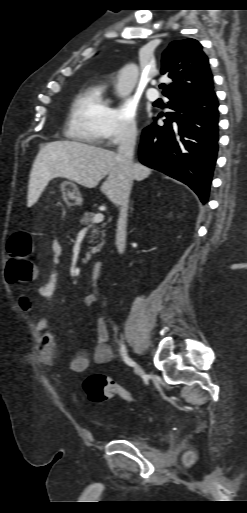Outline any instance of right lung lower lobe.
Instances as JSON below:
<instances>
[{
  "label": "right lung lower lobe",
  "instance_id": "1",
  "mask_svg": "<svg viewBox=\"0 0 247 513\" xmlns=\"http://www.w3.org/2000/svg\"><path fill=\"white\" fill-rule=\"evenodd\" d=\"M167 97L172 112L165 114L163 126L153 123L143 130L140 161L187 184L206 203L219 140L214 88L196 95Z\"/></svg>",
  "mask_w": 247,
  "mask_h": 513
}]
</instances>
